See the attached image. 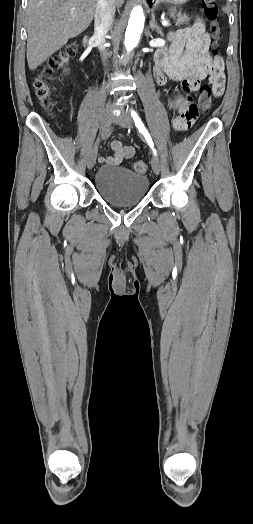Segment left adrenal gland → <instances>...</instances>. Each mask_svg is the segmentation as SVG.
Returning a JSON list of instances; mask_svg holds the SVG:
<instances>
[{
    "label": "left adrenal gland",
    "mask_w": 253,
    "mask_h": 524,
    "mask_svg": "<svg viewBox=\"0 0 253 524\" xmlns=\"http://www.w3.org/2000/svg\"><path fill=\"white\" fill-rule=\"evenodd\" d=\"M150 29L152 31H157L158 34H160L161 36H163V32H162V28L160 26L157 25L156 21H155V15L154 13H152V16H151V20H150Z\"/></svg>",
    "instance_id": "obj_1"
}]
</instances>
